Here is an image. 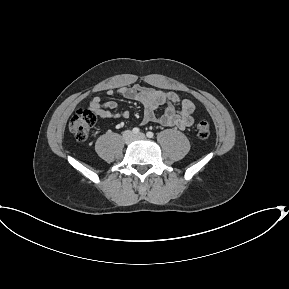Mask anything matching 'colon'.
Wrapping results in <instances>:
<instances>
[{"label":"colon","instance_id":"colon-1","mask_svg":"<svg viewBox=\"0 0 289 289\" xmlns=\"http://www.w3.org/2000/svg\"><path fill=\"white\" fill-rule=\"evenodd\" d=\"M96 122V117L91 110L79 109L69 121V130L79 141L88 138L89 133ZM197 136L200 139H207L210 136V126L205 120H201L196 126Z\"/></svg>","mask_w":289,"mask_h":289}]
</instances>
